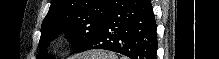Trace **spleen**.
I'll list each match as a JSON object with an SVG mask.
<instances>
[{"instance_id":"3e777b00","label":"spleen","mask_w":219,"mask_h":59,"mask_svg":"<svg viewBox=\"0 0 219 59\" xmlns=\"http://www.w3.org/2000/svg\"><path fill=\"white\" fill-rule=\"evenodd\" d=\"M88 55L91 56L90 59H101V58L107 59V56L105 54L99 55V57L92 56L93 55L92 53H89Z\"/></svg>"}]
</instances>
